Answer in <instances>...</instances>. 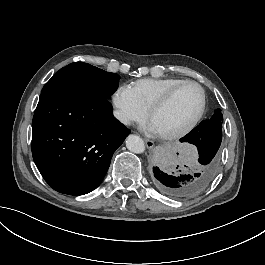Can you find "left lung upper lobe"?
<instances>
[{"mask_svg":"<svg viewBox=\"0 0 265 265\" xmlns=\"http://www.w3.org/2000/svg\"><path fill=\"white\" fill-rule=\"evenodd\" d=\"M222 120H223V115L221 113V109H216L214 111L213 116L206 121L211 122V124L215 126L216 128L222 129Z\"/></svg>","mask_w":265,"mask_h":265,"instance_id":"left-lung-upper-lobe-1","label":"left lung upper lobe"}]
</instances>
